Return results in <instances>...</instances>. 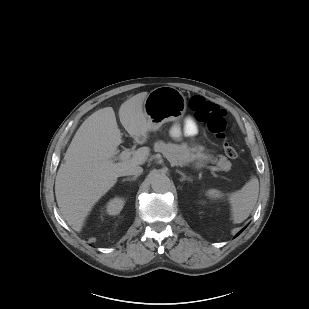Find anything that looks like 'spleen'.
Wrapping results in <instances>:
<instances>
[{
  "instance_id": "3e777b00",
  "label": "spleen",
  "mask_w": 309,
  "mask_h": 309,
  "mask_svg": "<svg viewBox=\"0 0 309 309\" xmlns=\"http://www.w3.org/2000/svg\"><path fill=\"white\" fill-rule=\"evenodd\" d=\"M258 194L259 181L253 176L241 190L229 196L234 223H241L249 217L256 205ZM206 195L212 199L223 197V194L217 189H209Z\"/></svg>"
}]
</instances>
